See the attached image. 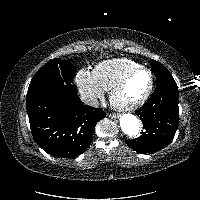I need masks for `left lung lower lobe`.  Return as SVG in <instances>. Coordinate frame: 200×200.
<instances>
[{"instance_id":"0a47b994","label":"left lung lower lobe","mask_w":200,"mask_h":200,"mask_svg":"<svg viewBox=\"0 0 200 200\" xmlns=\"http://www.w3.org/2000/svg\"><path fill=\"white\" fill-rule=\"evenodd\" d=\"M136 114L143 122L144 131L140 137L126 140L127 145L140 153H151L166 147L173 140L179 124L177 85L157 86Z\"/></svg>"}]
</instances>
